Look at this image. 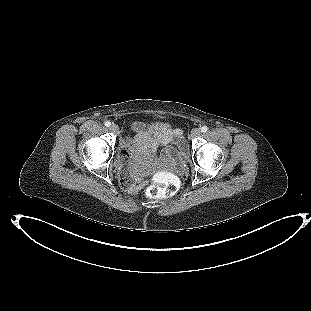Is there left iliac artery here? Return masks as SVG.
I'll list each match as a JSON object with an SVG mask.
<instances>
[{
    "label": "left iliac artery",
    "instance_id": "obj_1",
    "mask_svg": "<svg viewBox=\"0 0 311 311\" xmlns=\"http://www.w3.org/2000/svg\"><path fill=\"white\" fill-rule=\"evenodd\" d=\"M207 131H208V127L207 126L204 125V126L201 127V132L205 133Z\"/></svg>",
    "mask_w": 311,
    "mask_h": 311
}]
</instances>
